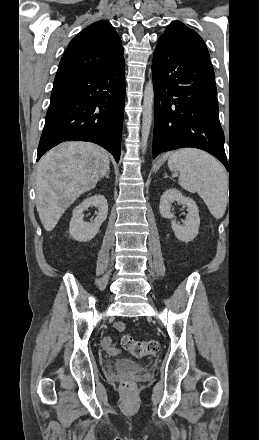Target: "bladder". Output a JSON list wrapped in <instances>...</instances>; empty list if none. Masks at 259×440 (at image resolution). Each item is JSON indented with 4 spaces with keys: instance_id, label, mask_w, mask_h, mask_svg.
Listing matches in <instances>:
<instances>
[{
    "instance_id": "1",
    "label": "bladder",
    "mask_w": 259,
    "mask_h": 440,
    "mask_svg": "<svg viewBox=\"0 0 259 440\" xmlns=\"http://www.w3.org/2000/svg\"><path fill=\"white\" fill-rule=\"evenodd\" d=\"M115 367L118 371L122 372H139L143 369V366L130 359H120L116 362Z\"/></svg>"
}]
</instances>
